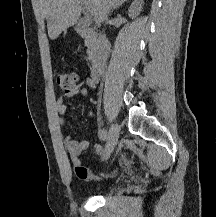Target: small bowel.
<instances>
[{
    "label": "small bowel",
    "instance_id": "c3829d8e",
    "mask_svg": "<svg viewBox=\"0 0 216 217\" xmlns=\"http://www.w3.org/2000/svg\"><path fill=\"white\" fill-rule=\"evenodd\" d=\"M102 72V71H101ZM101 72L96 75L91 74L87 77L81 85L76 86L74 89L63 93L56 101L57 111L60 115L59 123L64 124L63 116L66 113L65 100L73 96L85 97L88 94V88H94L99 81ZM64 145L67 154L75 167V173L81 181H95L101 179L100 176L95 175L90 169L82 164L80 159L81 153L89 147V142L85 140H77L70 135H66L64 138ZM94 150L97 154H103L104 150L101 145H94ZM110 176V175H109Z\"/></svg>",
    "mask_w": 216,
    "mask_h": 217
}]
</instances>
